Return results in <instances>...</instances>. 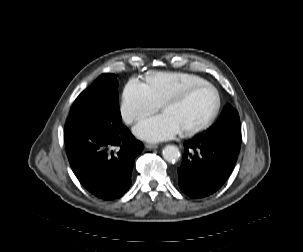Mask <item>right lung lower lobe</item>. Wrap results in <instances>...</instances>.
Here are the masks:
<instances>
[{
	"label": "right lung lower lobe",
	"instance_id": "right-lung-lower-lobe-1",
	"mask_svg": "<svg viewBox=\"0 0 303 252\" xmlns=\"http://www.w3.org/2000/svg\"><path fill=\"white\" fill-rule=\"evenodd\" d=\"M64 140L70 166L88 191L105 200L128 191L134 159L143 144L122 122L97 116L71 118Z\"/></svg>",
	"mask_w": 303,
	"mask_h": 252
}]
</instances>
